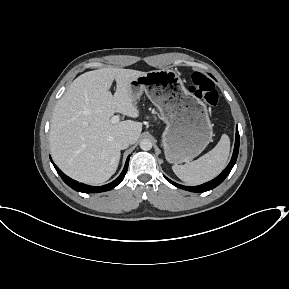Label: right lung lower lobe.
<instances>
[{
  "instance_id": "right-lung-lower-lobe-1",
  "label": "right lung lower lobe",
  "mask_w": 289,
  "mask_h": 289,
  "mask_svg": "<svg viewBox=\"0 0 289 289\" xmlns=\"http://www.w3.org/2000/svg\"><path fill=\"white\" fill-rule=\"evenodd\" d=\"M128 163H129V157L126 160L124 169H123L122 173L120 174V176L117 179H115L113 182L106 184V185H103V186H90V185H85L83 183H79V182L69 178L63 172H61L54 163H53V165H54L56 171L58 172V174L60 175V177L63 179V181L68 186H70L72 189H74L75 191L83 192V193H99V192L109 191L122 182V180L124 179L125 174L128 170Z\"/></svg>"
}]
</instances>
